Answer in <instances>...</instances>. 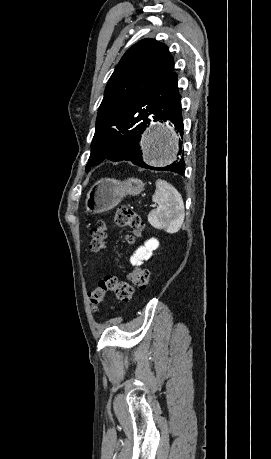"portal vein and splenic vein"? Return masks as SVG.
Here are the masks:
<instances>
[{
	"instance_id": "obj_1",
	"label": "portal vein and splenic vein",
	"mask_w": 271,
	"mask_h": 459,
	"mask_svg": "<svg viewBox=\"0 0 271 459\" xmlns=\"http://www.w3.org/2000/svg\"><path fill=\"white\" fill-rule=\"evenodd\" d=\"M152 209H155V205L154 204L152 205Z\"/></svg>"
}]
</instances>
